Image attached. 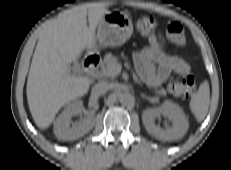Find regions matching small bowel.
Listing matches in <instances>:
<instances>
[{"mask_svg":"<svg viewBox=\"0 0 231 170\" xmlns=\"http://www.w3.org/2000/svg\"><path fill=\"white\" fill-rule=\"evenodd\" d=\"M167 37L177 45L185 43L182 27L177 23L168 26ZM133 59L140 76L151 86L161 85L172 73L182 76L190 73L188 61L167 53L156 37L150 39L147 47L135 52Z\"/></svg>","mask_w":231,"mask_h":170,"instance_id":"obj_1","label":"small bowel"}]
</instances>
